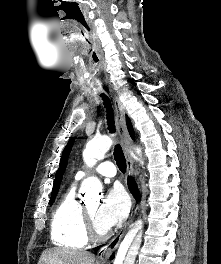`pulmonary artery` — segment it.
Here are the masks:
<instances>
[{"mask_svg": "<svg viewBox=\"0 0 221 264\" xmlns=\"http://www.w3.org/2000/svg\"><path fill=\"white\" fill-rule=\"evenodd\" d=\"M91 173H95V174H98V175H101L107 178H112L116 175V168L112 162L105 161V162L100 163L92 171H88V170L78 171L75 175V180L79 181Z\"/></svg>", "mask_w": 221, "mask_h": 264, "instance_id": "1", "label": "pulmonary artery"}]
</instances>
